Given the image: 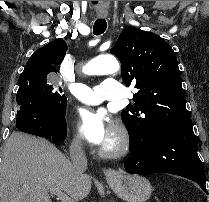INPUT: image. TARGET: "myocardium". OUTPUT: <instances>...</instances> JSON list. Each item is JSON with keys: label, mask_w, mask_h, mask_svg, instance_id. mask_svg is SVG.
<instances>
[{"label": "myocardium", "mask_w": 209, "mask_h": 202, "mask_svg": "<svg viewBox=\"0 0 209 202\" xmlns=\"http://www.w3.org/2000/svg\"><path fill=\"white\" fill-rule=\"evenodd\" d=\"M117 140L112 147H102L98 155L106 159L120 158L126 155L131 149V138L126 127L121 123H115Z\"/></svg>", "instance_id": "f54148a6"}]
</instances>
